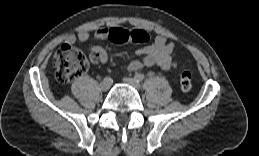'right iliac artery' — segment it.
<instances>
[{
	"label": "right iliac artery",
	"mask_w": 259,
	"mask_h": 156,
	"mask_svg": "<svg viewBox=\"0 0 259 156\" xmlns=\"http://www.w3.org/2000/svg\"><path fill=\"white\" fill-rule=\"evenodd\" d=\"M104 80L111 81V78L110 77H105Z\"/></svg>",
	"instance_id": "obj_1"
}]
</instances>
